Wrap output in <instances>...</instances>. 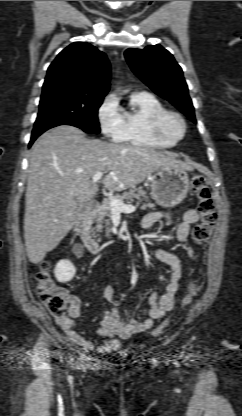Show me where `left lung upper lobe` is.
I'll return each instance as SVG.
<instances>
[{
    "instance_id": "left-lung-upper-lobe-1",
    "label": "left lung upper lobe",
    "mask_w": 242,
    "mask_h": 416,
    "mask_svg": "<svg viewBox=\"0 0 242 416\" xmlns=\"http://www.w3.org/2000/svg\"><path fill=\"white\" fill-rule=\"evenodd\" d=\"M125 58L146 85L196 123L183 71L169 51L159 44L143 50L130 48L125 51Z\"/></svg>"
}]
</instances>
